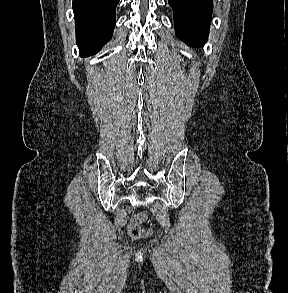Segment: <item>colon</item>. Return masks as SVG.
<instances>
[{"instance_id": "1", "label": "colon", "mask_w": 288, "mask_h": 293, "mask_svg": "<svg viewBox=\"0 0 288 293\" xmlns=\"http://www.w3.org/2000/svg\"><path fill=\"white\" fill-rule=\"evenodd\" d=\"M144 218L145 217L143 214H138L132 219L128 230L129 235L132 238H140L146 233V231L141 226V223L143 222Z\"/></svg>"}]
</instances>
